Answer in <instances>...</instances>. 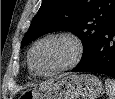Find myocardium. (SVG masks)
I'll list each match as a JSON object with an SVG mask.
<instances>
[{
  "label": "myocardium",
  "mask_w": 115,
  "mask_h": 99,
  "mask_svg": "<svg viewBox=\"0 0 115 99\" xmlns=\"http://www.w3.org/2000/svg\"><path fill=\"white\" fill-rule=\"evenodd\" d=\"M59 38L66 39L73 44L74 55H73L72 59L67 64H65L59 68H56L52 71H49V72L39 71L36 68L34 61H33V55H34L36 48L41 43H43L45 41H48L51 39H59ZM84 52H85V47H84L83 41L75 33L70 32V31L52 32V33H48L45 36L39 38L38 40H36L33 43L32 47L30 48L29 53H28V64H29L31 71L33 73H35L36 75L41 76V77H50V76H54L56 74H59L61 72L67 71V70L75 67L83 58Z\"/></svg>",
  "instance_id": "f54148a6"
}]
</instances>
